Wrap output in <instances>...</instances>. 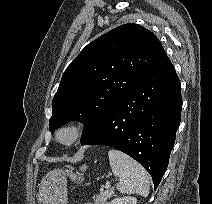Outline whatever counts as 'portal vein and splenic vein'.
Here are the masks:
<instances>
[{
	"mask_svg": "<svg viewBox=\"0 0 212 204\" xmlns=\"http://www.w3.org/2000/svg\"><path fill=\"white\" fill-rule=\"evenodd\" d=\"M106 188H109L110 187V181H107L106 182V186H105Z\"/></svg>",
	"mask_w": 212,
	"mask_h": 204,
	"instance_id": "18ae733b",
	"label": "portal vein and splenic vein"
}]
</instances>
